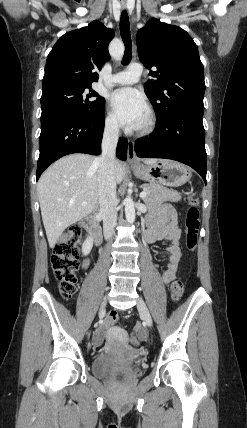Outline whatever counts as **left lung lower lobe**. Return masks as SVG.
Here are the masks:
<instances>
[{
  "label": "left lung lower lobe",
  "instance_id": "0a47b994",
  "mask_svg": "<svg viewBox=\"0 0 247 428\" xmlns=\"http://www.w3.org/2000/svg\"><path fill=\"white\" fill-rule=\"evenodd\" d=\"M202 119L203 110L176 107L169 115L158 119L152 137L135 143V154L141 158H166L189 165L206 184L207 154Z\"/></svg>",
  "mask_w": 247,
  "mask_h": 428
}]
</instances>
